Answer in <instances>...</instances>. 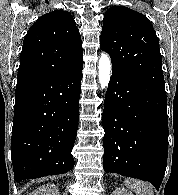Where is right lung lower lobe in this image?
I'll return each instance as SVG.
<instances>
[{"label":"right lung lower lobe","instance_id":"1","mask_svg":"<svg viewBox=\"0 0 178 195\" xmlns=\"http://www.w3.org/2000/svg\"><path fill=\"white\" fill-rule=\"evenodd\" d=\"M82 68L17 82L11 138L16 182L74 167Z\"/></svg>","mask_w":178,"mask_h":195}]
</instances>
